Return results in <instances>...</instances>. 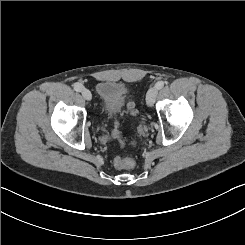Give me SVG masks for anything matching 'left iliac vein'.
I'll list each match as a JSON object with an SVG mask.
<instances>
[{
    "label": "left iliac vein",
    "mask_w": 245,
    "mask_h": 245,
    "mask_svg": "<svg viewBox=\"0 0 245 245\" xmlns=\"http://www.w3.org/2000/svg\"><path fill=\"white\" fill-rule=\"evenodd\" d=\"M158 90L155 87H152L147 94V105L153 106L157 97Z\"/></svg>",
    "instance_id": "4c4485c4"
}]
</instances>
